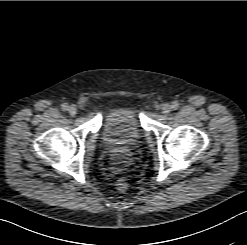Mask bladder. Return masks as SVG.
<instances>
[{"label":"bladder","instance_id":"31cf9c89","mask_svg":"<svg viewBox=\"0 0 247 245\" xmlns=\"http://www.w3.org/2000/svg\"><path fill=\"white\" fill-rule=\"evenodd\" d=\"M141 138V120L133 106L119 104L103 114L100 142L104 148H132Z\"/></svg>","mask_w":247,"mask_h":245}]
</instances>
